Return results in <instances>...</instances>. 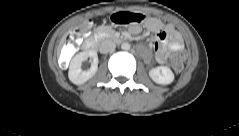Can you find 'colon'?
Instances as JSON below:
<instances>
[{
  "label": "colon",
  "instance_id": "colon-1",
  "mask_svg": "<svg viewBox=\"0 0 239 136\" xmlns=\"http://www.w3.org/2000/svg\"><path fill=\"white\" fill-rule=\"evenodd\" d=\"M91 20L88 19L84 22L83 26L78 29L75 33V36H71L63 45L62 47V52L65 55H73L76 51V48L74 46V37L79 36L83 31H85L86 29H88L91 26ZM186 58V53L183 50H179L177 52H175L172 56V67L173 70L176 73H180L183 69V62Z\"/></svg>",
  "mask_w": 239,
  "mask_h": 136
}]
</instances>
